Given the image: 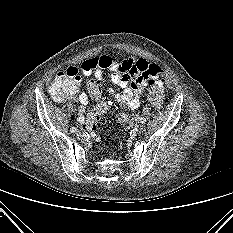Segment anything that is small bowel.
<instances>
[{
  "label": "small bowel",
  "instance_id": "obj_1",
  "mask_svg": "<svg viewBox=\"0 0 233 233\" xmlns=\"http://www.w3.org/2000/svg\"><path fill=\"white\" fill-rule=\"evenodd\" d=\"M104 69L111 72L112 82L121 89L120 92H117L114 88L108 87V92L127 110H133L140 106L141 94L149 80L157 81L162 74V69L158 65L148 63L143 59L134 60L125 57L116 61L110 55L88 59L79 68L69 66L65 72L73 79L74 92L67 100L78 101L81 104L78 115L80 123L84 122V106L89 103L88 95L80 90V73L85 76L93 74L99 82H105Z\"/></svg>",
  "mask_w": 233,
  "mask_h": 233
}]
</instances>
